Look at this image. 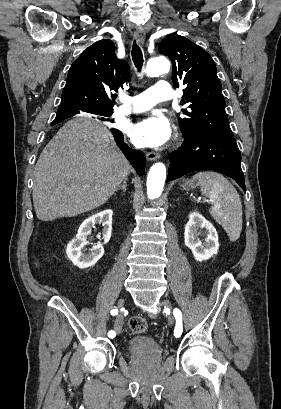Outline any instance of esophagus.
I'll use <instances>...</instances> for the list:
<instances>
[{
    "instance_id": "1",
    "label": "esophagus",
    "mask_w": 281,
    "mask_h": 409,
    "mask_svg": "<svg viewBox=\"0 0 281 409\" xmlns=\"http://www.w3.org/2000/svg\"><path fill=\"white\" fill-rule=\"evenodd\" d=\"M134 37L136 38V40L140 43L143 44L145 41V34L140 32V31H135L134 33ZM147 159L149 161H154L160 158V154L157 152H148L147 153Z\"/></svg>"
}]
</instances>
